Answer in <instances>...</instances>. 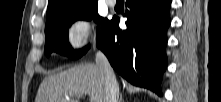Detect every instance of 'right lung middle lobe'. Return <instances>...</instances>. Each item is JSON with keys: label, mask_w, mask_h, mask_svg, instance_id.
I'll return each mask as SVG.
<instances>
[{"label": "right lung middle lobe", "mask_w": 221, "mask_h": 102, "mask_svg": "<svg viewBox=\"0 0 221 102\" xmlns=\"http://www.w3.org/2000/svg\"><path fill=\"white\" fill-rule=\"evenodd\" d=\"M98 2L89 3L80 7H71L57 12L47 20L45 27V53L50 56L52 52L66 55L70 58L81 57L89 48L73 51L68 43V29L76 20H91L97 23V35L108 22L97 14Z\"/></svg>", "instance_id": "1"}]
</instances>
